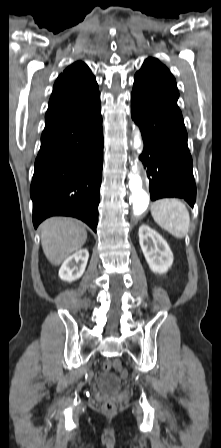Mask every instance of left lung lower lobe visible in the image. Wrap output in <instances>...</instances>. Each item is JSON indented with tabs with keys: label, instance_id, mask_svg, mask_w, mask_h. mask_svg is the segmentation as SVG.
<instances>
[{
	"label": "left lung lower lobe",
	"instance_id": "0a47b994",
	"mask_svg": "<svg viewBox=\"0 0 221 448\" xmlns=\"http://www.w3.org/2000/svg\"><path fill=\"white\" fill-rule=\"evenodd\" d=\"M131 116L144 140L139 158L147 167L151 200L178 197L193 207L196 186L181 111L133 88Z\"/></svg>",
	"mask_w": 221,
	"mask_h": 448
}]
</instances>
